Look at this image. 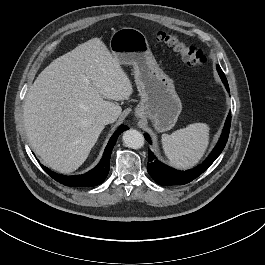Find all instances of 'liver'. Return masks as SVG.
Returning <instances> with one entry per match:
<instances>
[{
    "mask_svg": "<svg viewBox=\"0 0 265 265\" xmlns=\"http://www.w3.org/2000/svg\"><path fill=\"white\" fill-rule=\"evenodd\" d=\"M132 93L130 79L102 40L77 46L51 62L28 90L24 125L30 146L51 169L77 170L105 127L98 115L117 119L122 108L113 101Z\"/></svg>",
    "mask_w": 265,
    "mask_h": 265,
    "instance_id": "liver-1",
    "label": "liver"
}]
</instances>
